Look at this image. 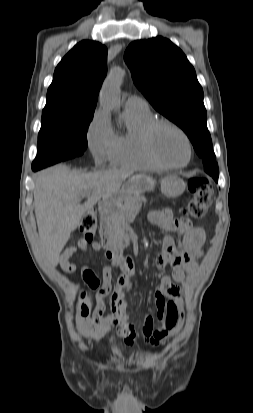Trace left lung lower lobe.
<instances>
[{
	"label": "left lung lower lobe",
	"mask_w": 253,
	"mask_h": 413,
	"mask_svg": "<svg viewBox=\"0 0 253 413\" xmlns=\"http://www.w3.org/2000/svg\"><path fill=\"white\" fill-rule=\"evenodd\" d=\"M214 178V180L216 181V182H218V177L217 176H215V177H213Z\"/></svg>",
	"instance_id": "obj_1"
}]
</instances>
